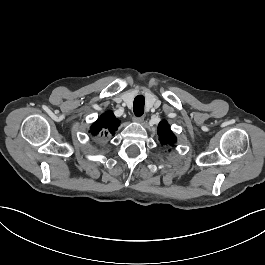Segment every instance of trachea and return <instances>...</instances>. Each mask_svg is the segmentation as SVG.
<instances>
[{"mask_svg": "<svg viewBox=\"0 0 265 265\" xmlns=\"http://www.w3.org/2000/svg\"><path fill=\"white\" fill-rule=\"evenodd\" d=\"M145 101L142 96H137L133 102V111L135 116L140 117L144 113Z\"/></svg>", "mask_w": 265, "mask_h": 265, "instance_id": "3493384b", "label": "trachea"}]
</instances>
